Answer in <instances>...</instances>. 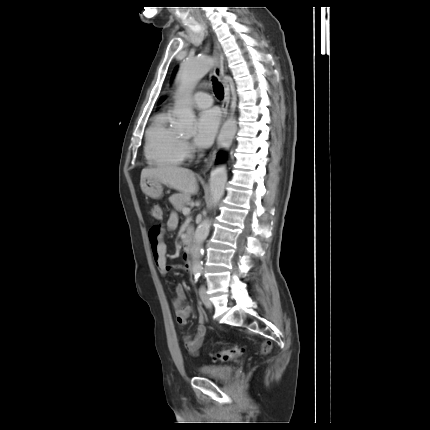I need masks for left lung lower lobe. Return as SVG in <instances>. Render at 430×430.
I'll return each instance as SVG.
<instances>
[{
  "instance_id": "obj_1",
  "label": "left lung lower lobe",
  "mask_w": 430,
  "mask_h": 430,
  "mask_svg": "<svg viewBox=\"0 0 430 430\" xmlns=\"http://www.w3.org/2000/svg\"><path fill=\"white\" fill-rule=\"evenodd\" d=\"M222 158H223V154H222V153H220V154L218 155V157H217V161H221V160H222Z\"/></svg>"
}]
</instances>
